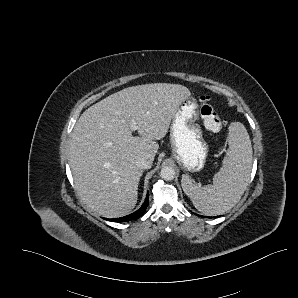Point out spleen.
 <instances>
[{"instance_id": "1", "label": "spleen", "mask_w": 298, "mask_h": 298, "mask_svg": "<svg viewBox=\"0 0 298 298\" xmlns=\"http://www.w3.org/2000/svg\"><path fill=\"white\" fill-rule=\"evenodd\" d=\"M227 141V158L214 176L213 185H195L185 175L181 180L183 190L190 196L196 210L206 215L224 214L233 208L250 181L253 150L245 125L233 122L229 127Z\"/></svg>"}]
</instances>
